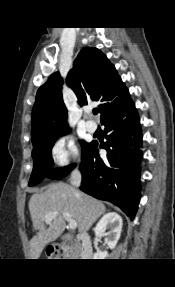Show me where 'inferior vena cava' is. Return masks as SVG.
Masks as SVG:
<instances>
[{
    "label": "inferior vena cava",
    "mask_w": 175,
    "mask_h": 287,
    "mask_svg": "<svg viewBox=\"0 0 175 287\" xmlns=\"http://www.w3.org/2000/svg\"><path fill=\"white\" fill-rule=\"evenodd\" d=\"M81 179H82L81 173H80V171L78 170V168H76V169L71 173V176H70L71 185L74 186L75 188L79 187L80 184H81Z\"/></svg>",
    "instance_id": "602c4592"
}]
</instances>
